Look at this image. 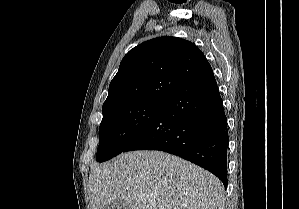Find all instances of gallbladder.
Listing matches in <instances>:
<instances>
[{"instance_id":"obj_1","label":"gallbladder","mask_w":299,"mask_h":209,"mask_svg":"<svg viewBox=\"0 0 299 209\" xmlns=\"http://www.w3.org/2000/svg\"><path fill=\"white\" fill-rule=\"evenodd\" d=\"M102 209H132V207L126 201L117 199V200L105 205Z\"/></svg>"}]
</instances>
